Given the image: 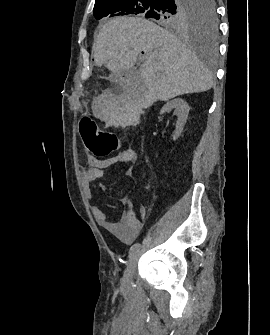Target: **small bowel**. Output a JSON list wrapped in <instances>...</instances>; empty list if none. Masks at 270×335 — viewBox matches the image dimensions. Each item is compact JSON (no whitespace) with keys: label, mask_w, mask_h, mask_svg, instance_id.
<instances>
[{"label":"small bowel","mask_w":270,"mask_h":335,"mask_svg":"<svg viewBox=\"0 0 270 335\" xmlns=\"http://www.w3.org/2000/svg\"><path fill=\"white\" fill-rule=\"evenodd\" d=\"M137 154L134 149L127 148L107 159H97L91 155L86 156L85 166L82 168V182L87 189L89 186L103 176L104 170L118 163H129L135 161ZM133 169L127 170V176H133ZM124 205L125 211L121 222L111 221L106 213L98 206H92L91 211L99 224L123 243L133 242L143 229V223L135 214L132 197L128 194L119 198Z\"/></svg>","instance_id":"c3829d8e"}]
</instances>
